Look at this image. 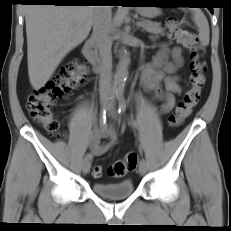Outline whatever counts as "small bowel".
<instances>
[{
	"instance_id": "obj_1",
	"label": "small bowel",
	"mask_w": 231,
	"mask_h": 231,
	"mask_svg": "<svg viewBox=\"0 0 231 231\" xmlns=\"http://www.w3.org/2000/svg\"><path fill=\"white\" fill-rule=\"evenodd\" d=\"M171 57L172 61H168ZM181 50L178 47L170 50L162 47L157 53L153 63L147 66L141 76L143 88L161 102V111L164 114L171 112L176 104L175 96L180 93L178 77L174 75L181 65ZM106 139V142H102ZM117 141V132L112 127L104 130H94L91 134L88 146L96 156L105 154Z\"/></svg>"
}]
</instances>
